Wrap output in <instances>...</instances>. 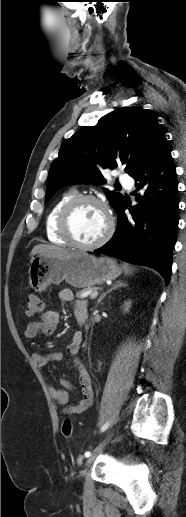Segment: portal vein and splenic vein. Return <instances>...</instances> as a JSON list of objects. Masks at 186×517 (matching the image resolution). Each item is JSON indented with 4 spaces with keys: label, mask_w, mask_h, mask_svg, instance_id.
<instances>
[{
    "label": "portal vein and splenic vein",
    "mask_w": 186,
    "mask_h": 517,
    "mask_svg": "<svg viewBox=\"0 0 186 517\" xmlns=\"http://www.w3.org/2000/svg\"><path fill=\"white\" fill-rule=\"evenodd\" d=\"M98 294H99V293H98L97 291L93 292V293H92V295H91V298H95V297H97V296H98ZM83 295H86V294H83Z\"/></svg>",
    "instance_id": "18ae733b"
}]
</instances>
